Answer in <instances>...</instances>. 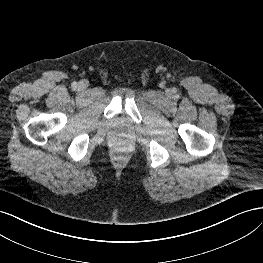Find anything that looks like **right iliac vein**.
I'll return each mask as SVG.
<instances>
[{"instance_id":"obj_1","label":"right iliac vein","mask_w":263,"mask_h":263,"mask_svg":"<svg viewBox=\"0 0 263 263\" xmlns=\"http://www.w3.org/2000/svg\"><path fill=\"white\" fill-rule=\"evenodd\" d=\"M88 87V81H86V80H82V81H80L79 83H78V88L80 89V90H83V89H85V88H87Z\"/></svg>"}]
</instances>
